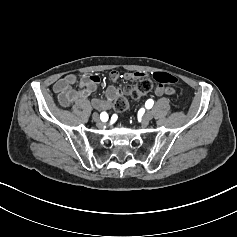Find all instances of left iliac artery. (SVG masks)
I'll use <instances>...</instances> for the list:
<instances>
[{
	"mask_svg": "<svg viewBox=\"0 0 237 237\" xmlns=\"http://www.w3.org/2000/svg\"><path fill=\"white\" fill-rule=\"evenodd\" d=\"M154 104V101L152 99H148L145 103V106L147 109H150Z\"/></svg>",
	"mask_w": 237,
	"mask_h": 237,
	"instance_id": "obj_1",
	"label": "left iliac artery"
}]
</instances>
